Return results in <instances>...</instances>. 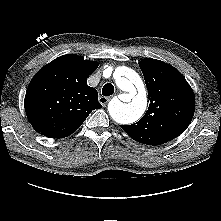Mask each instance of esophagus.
Listing matches in <instances>:
<instances>
[{"instance_id":"1","label":"esophagus","mask_w":221,"mask_h":221,"mask_svg":"<svg viewBox=\"0 0 221 221\" xmlns=\"http://www.w3.org/2000/svg\"><path fill=\"white\" fill-rule=\"evenodd\" d=\"M110 100V97H105V96H100L99 97V102L105 106Z\"/></svg>"}]
</instances>
